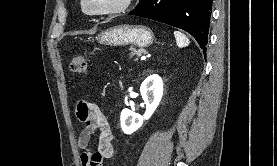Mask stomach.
Here are the masks:
<instances>
[{"label":"stomach","instance_id":"0dacf381","mask_svg":"<svg viewBox=\"0 0 277 166\" xmlns=\"http://www.w3.org/2000/svg\"><path fill=\"white\" fill-rule=\"evenodd\" d=\"M154 33L142 25H118L102 31L96 40L109 46L135 45L148 47L154 41Z\"/></svg>","mask_w":277,"mask_h":166}]
</instances>
